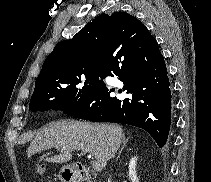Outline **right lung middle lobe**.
Segmentation results:
<instances>
[{"label":"right lung middle lobe","instance_id":"dd1d6c3e","mask_svg":"<svg viewBox=\"0 0 211 182\" xmlns=\"http://www.w3.org/2000/svg\"><path fill=\"white\" fill-rule=\"evenodd\" d=\"M100 78V69H91L34 89L31 111L61 110L68 114L92 91Z\"/></svg>","mask_w":211,"mask_h":182}]
</instances>
